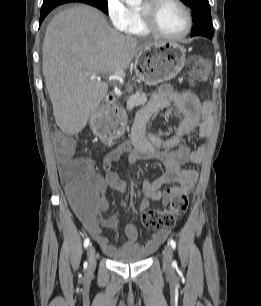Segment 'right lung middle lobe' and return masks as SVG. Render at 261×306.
<instances>
[{"mask_svg":"<svg viewBox=\"0 0 261 306\" xmlns=\"http://www.w3.org/2000/svg\"><path fill=\"white\" fill-rule=\"evenodd\" d=\"M70 2H73V1L44 0L41 9L57 7L58 5H61L64 3H70ZM81 2L97 7L98 9L102 10L104 13L108 14L107 0H81Z\"/></svg>","mask_w":261,"mask_h":306,"instance_id":"1","label":"right lung middle lobe"}]
</instances>
